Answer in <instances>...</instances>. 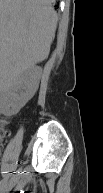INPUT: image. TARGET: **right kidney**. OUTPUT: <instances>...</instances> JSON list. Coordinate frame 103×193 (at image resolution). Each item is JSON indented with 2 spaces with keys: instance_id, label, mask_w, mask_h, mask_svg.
Segmentation results:
<instances>
[{
  "instance_id": "obj_1",
  "label": "right kidney",
  "mask_w": 103,
  "mask_h": 193,
  "mask_svg": "<svg viewBox=\"0 0 103 193\" xmlns=\"http://www.w3.org/2000/svg\"><path fill=\"white\" fill-rule=\"evenodd\" d=\"M41 74L42 69L33 66L8 82H1V113L8 117L16 115L34 96L39 86Z\"/></svg>"
}]
</instances>
